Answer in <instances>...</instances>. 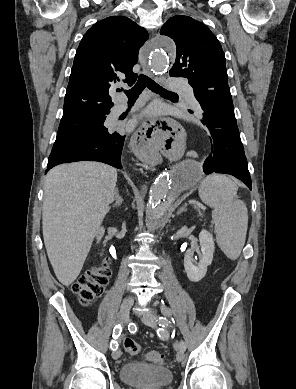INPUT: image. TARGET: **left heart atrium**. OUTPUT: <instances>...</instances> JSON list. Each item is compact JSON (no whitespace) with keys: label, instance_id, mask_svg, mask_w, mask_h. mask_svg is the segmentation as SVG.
<instances>
[{"label":"left heart atrium","instance_id":"1","mask_svg":"<svg viewBox=\"0 0 296 389\" xmlns=\"http://www.w3.org/2000/svg\"><path fill=\"white\" fill-rule=\"evenodd\" d=\"M155 113V111L153 110V109H150L148 112H147V114H149V115H152V114H154Z\"/></svg>","mask_w":296,"mask_h":389}]
</instances>
